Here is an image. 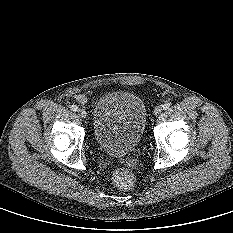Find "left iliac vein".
<instances>
[{"mask_svg":"<svg viewBox=\"0 0 233 233\" xmlns=\"http://www.w3.org/2000/svg\"><path fill=\"white\" fill-rule=\"evenodd\" d=\"M161 112H162V107L161 106L155 107V109L153 111L154 115H156V116L159 115Z\"/></svg>","mask_w":233,"mask_h":233,"instance_id":"4c4485c4","label":"left iliac vein"}]
</instances>
